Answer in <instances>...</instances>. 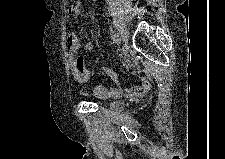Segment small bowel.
I'll return each mask as SVG.
<instances>
[{
	"label": "small bowel",
	"instance_id": "1",
	"mask_svg": "<svg viewBox=\"0 0 225 159\" xmlns=\"http://www.w3.org/2000/svg\"><path fill=\"white\" fill-rule=\"evenodd\" d=\"M70 16L73 19H76L81 13V3L75 2L70 10ZM67 46L70 52V64H71V72L75 82L79 85L87 84L90 79L92 72L87 67L86 60L84 57H78L77 54L81 47V43L79 37L76 32L71 31L67 36ZM86 51H92L94 49V44L92 42H86L84 46ZM119 55L123 61V64L129 68L134 69V62L127 56L126 53L119 50ZM105 73L115 82L118 81L117 74L111 69H104ZM148 87V81L145 78H140L138 82L128 87L125 91L128 94H140L144 92ZM123 89L120 86L113 87H103V86H95L92 90L93 94L99 98H112L119 97L123 93Z\"/></svg>",
	"mask_w": 225,
	"mask_h": 159
}]
</instances>
